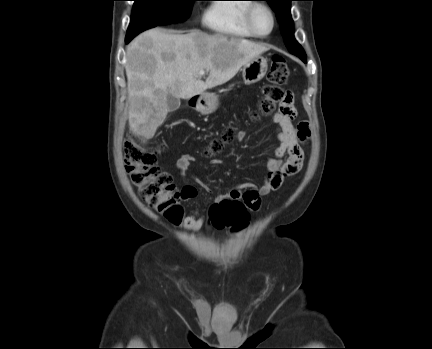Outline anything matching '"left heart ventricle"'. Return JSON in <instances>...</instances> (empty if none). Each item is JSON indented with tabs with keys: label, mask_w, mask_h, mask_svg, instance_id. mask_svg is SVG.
<instances>
[{
	"label": "left heart ventricle",
	"mask_w": 432,
	"mask_h": 349,
	"mask_svg": "<svg viewBox=\"0 0 432 349\" xmlns=\"http://www.w3.org/2000/svg\"><path fill=\"white\" fill-rule=\"evenodd\" d=\"M253 22L256 30L261 34L268 33L272 26L271 16L263 8L256 9L253 15Z\"/></svg>",
	"instance_id": "1"
}]
</instances>
